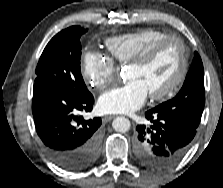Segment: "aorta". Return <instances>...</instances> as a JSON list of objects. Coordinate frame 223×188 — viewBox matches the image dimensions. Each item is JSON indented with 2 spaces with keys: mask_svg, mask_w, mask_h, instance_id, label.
Listing matches in <instances>:
<instances>
[{
  "mask_svg": "<svg viewBox=\"0 0 223 188\" xmlns=\"http://www.w3.org/2000/svg\"><path fill=\"white\" fill-rule=\"evenodd\" d=\"M130 121L125 117H116L112 122V127L117 132H127L130 129Z\"/></svg>",
  "mask_w": 223,
  "mask_h": 188,
  "instance_id": "1",
  "label": "aorta"
}]
</instances>
